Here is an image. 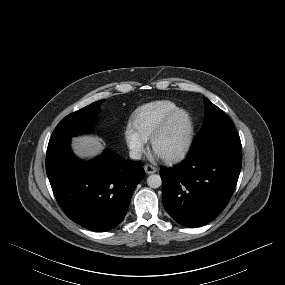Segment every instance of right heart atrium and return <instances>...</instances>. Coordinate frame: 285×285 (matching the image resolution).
Masks as SVG:
<instances>
[{"instance_id":"obj_1","label":"right heart atrium","mask_w":285,"mask_h":285,"mask_svg":"<svg viewBox=\"0 0 285 285\" xmlns=\"http://www.w3.org/2000/svg\"><path fill=\"white\" fill-rule=\"evenodd\" d=\"M124 138L127 147L131 153L138 157L146 150V140L143 139L131 125L127 126L124 132Z\"/></svg>"}]
</instances>
